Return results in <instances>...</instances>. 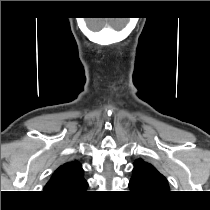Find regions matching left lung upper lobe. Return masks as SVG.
Here are the masks:
<instances>
[{"label":"left lung upper lobe","instance_id":"1","mask_svg":"<svg viewBox=\"0 0 210 210\" xmlns=\"http://www.w3.org/2000/svg\"><path fill=\"white\" fill-rule=\"evenodd\" d=\"M133 175L129 188L138 193L156 196L170 190L167 179L150 163L137 159L134 162Z\"/></svg>","mask_w":210,"mask_h":210}]
</instances>
